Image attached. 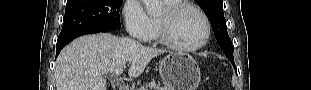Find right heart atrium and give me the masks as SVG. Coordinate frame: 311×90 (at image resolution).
Wrapping results in <instances>:
<instances>
[{
  "label": "right heart atrium",
  "mask_w": 311,
  "mask_h": 90,
  "mask_svg": "<svg viewBox=\"0 0 311 90\" xmlns=\"http://www.w3.org/2000/svg\"><path fill=\"white\" fill-rule=\"evenodd\" d=\"M127 32L140 41L149 40L151 19L140 0H127L123 8Z\"/></svg>",
  "instance_id": "1"
}]
</instances>
